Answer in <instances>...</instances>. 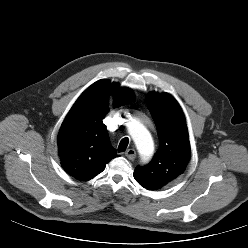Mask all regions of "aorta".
Returning <instances> with one entry per match:
<instances>
[{"label": "aorta", "mask_w": 248, "mask_h": 248, "mask_svg": "<svg viewBox=\"0 0 248 248\" xmlns=\"http://www.w3.org/2000/svg\"><path fill=\"white\" fill-rule=\"evenodd\" d=\"M128 132L143 160H148L154 152V143L149 131L137 120L128 124Z\"/></svg>", "instance_id": "obj_1"}]
</instances>
